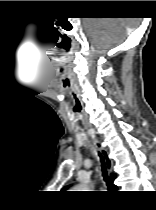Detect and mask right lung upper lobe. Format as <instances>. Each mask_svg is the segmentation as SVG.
I'll return each instance as SVG.
<instances>
[{"label": "right lung upper lobe", "instance_id": "1", "mask_svg": "<svg viewBox=\"0 0 156 210\" xmlns=\"http://www.w3.org/2000/svg\"><path fill=\"white\" fill-rule=\"evenodd\" d=\"M110 180H111V182H113V180H114V175L113 174H111Z\"/></svg>", "mask_w": 156, "mask_h": 210}]
</instances>
